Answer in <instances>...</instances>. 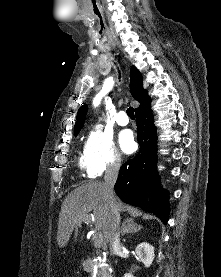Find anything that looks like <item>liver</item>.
<instances>
[{"mask_svg": "<svg viewBox=\"0 0 221 277\" xmlns=\"http://www.w3.org/2000/svg\"><path fill=\"white\" fill-rule=\"evenodd\" d=\"M114 202L118 210L128 209L122 206L114 196ZM93 212L95 230L103 234L106 241H109V220L110 212L107 199L104 195V183L90 181L71 191L64 199L61 206L57 243L59 247H65L77 225L78 220L90 216ZM127 221H130L127 219ZM82 235L81 239H83Z\"/></svg>", "mask_w": 221, "mask_h": 277, "instance_id": "6515ba94", "label": "liver"}]
</instances>
